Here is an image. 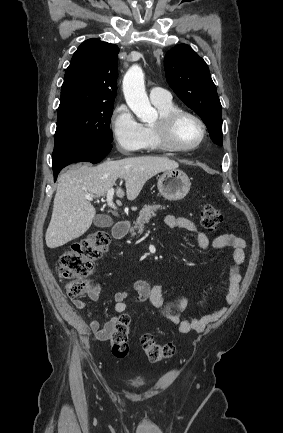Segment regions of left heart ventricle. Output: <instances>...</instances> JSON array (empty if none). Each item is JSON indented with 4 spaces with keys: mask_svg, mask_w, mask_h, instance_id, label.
<instances>
[{
    "mask_svg": "<svg viewBox=\"0 0 283 433\" xmlns=\"http://www.w3.org/2000/svg\"><path fill=\"white\" fill-rule=\"evenodd\" d=\"M201 135L200 126L190 117H183L177 124L175 138L182 146L194 143Z\"/></svg>",
    "mask_w": 283,
    "mask_h": 433,
    "instance_id": "1",
    "label": "left heart ventricle"
}]
</instances>
